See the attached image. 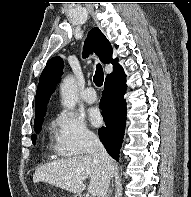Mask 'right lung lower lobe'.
I'll return each instance as SVG.
<instances>
[{"instance_id":"1","label":"right lung lower lobe","mask_w":191,"mask_h":197,"mask_svg":"<svg viewBox=\"0 0 191 197\" xmlns=\"http://www.w3.org/2000/svg\"><path fill=\"white\" fill-rule=\"evenodd\" d=\"M127 89L124 71L106 78L100 106L105 119V127H101L99 137L109 155L118 161L126 125Z\"/></svg>"}]
</instances>
